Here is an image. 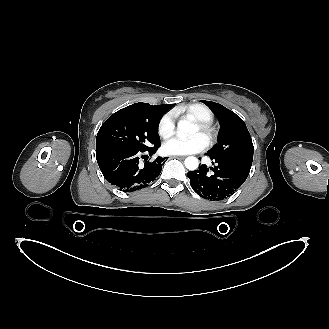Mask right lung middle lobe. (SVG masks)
<instances>
[{
    "label": "right lung middle lobe",
    "mask_w": 329,
    "mask_h": 329,
    "mask_svg": "<svg viewBox=\"0 0 329 329\" xmlns=\"http://www.w3.org/2000/svg\"><path fill=\"white\" fill-rule=\"evenodd\" d=\"M168 108L148 103L134 113L107 120L99 129L96 147L119 146L147 149L160 143L159 122Z\"/></svg>",
    "instance_id": "right-lung-middle-lobe-1"
}]
</instances>
